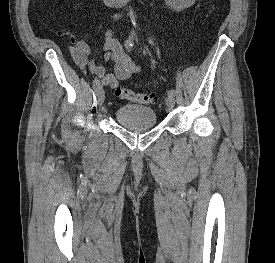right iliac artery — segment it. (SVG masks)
<instances>
[{"label": "right iliac artery", "instance_id": "obj_1", "mask_svg": "<svg viewBox=\"0 0 275 263\" xmlns=\"http://www.w3.org/2000/svg\"><path fill=\"white\" fill-rule=\"evenodd\" d=\"M133 34L131 33V36L129 37L128 40H126L125 46L126 48L130 49L132 47V38H133ZM93 88L95 90V92H97L99 89H101V85H100V81L98 80V78H95L93 81Z\"/></svg>", "mask_w": 275, "mask_h": 263}]
</instances>
